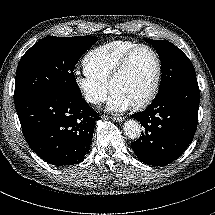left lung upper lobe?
Instances as JSON below:
<instances>
[{"instance_id":"5c2ea615","label":"left lung upper lobe","mask_w":215,"mask_h":215,"mask_svg":"<svg viewBox=\"0 0 215 215\" xmlns=\"http://www.w3.org/2000/svg\"><path fill=\"white\" fill-rule=\"evenodd\" d=\"M144 41L153 45L161 60L162 78L158 94L175 84L196 77L191 61L174 44L165 40Z\"/></svg>"}]
</instances>
